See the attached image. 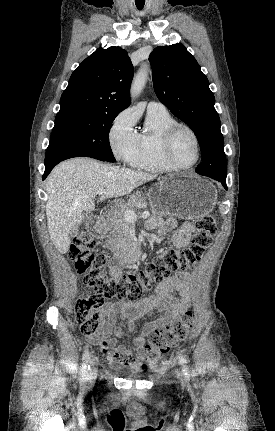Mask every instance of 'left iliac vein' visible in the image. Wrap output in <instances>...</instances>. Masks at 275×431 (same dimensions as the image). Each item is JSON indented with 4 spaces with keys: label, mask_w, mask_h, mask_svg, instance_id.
Returning <instances> with one entry per match:
<instances>
[{
    "label": "left iliac vein",
    "mask_w": 275,
    "mask_h": 431,
    "mask_svg": "<svg viewBox=\"0 0 275 431\" xmlns=\"http://www.w3.org/2000/svg\"><path fill=\"white\" fill-rule=\"evenodd\" d=\"M176 375H177L178 377H180V373H179L178 371H176Z\"/></svg>",
    "instance_id": "4c4485c4"
}]
</instances>
